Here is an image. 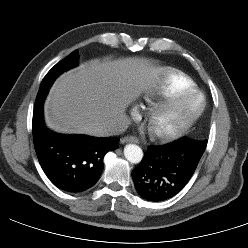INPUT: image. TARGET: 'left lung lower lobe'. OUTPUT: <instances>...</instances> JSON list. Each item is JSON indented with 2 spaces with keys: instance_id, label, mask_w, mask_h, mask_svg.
Instances as JSON below:
<instances>
[{
  "instance_id": "left-lung-lower-lobe-1",
  "label": "left lung lower lobe",
  "mask_w": 248,
  "mask_h": 248,
  "mask_svg": "<svg viewBox=\"0 0 248 248\" xmlns=\"http://www.w3.org/2000/svg\"><path fill=\"white\" fill-rule=\"evenodd\" d=\"M204 151L181 138L149 147L132 172L136 191L142 198L153 202L174 197L191 179Z\"/></svg>"
}]
</instances>
